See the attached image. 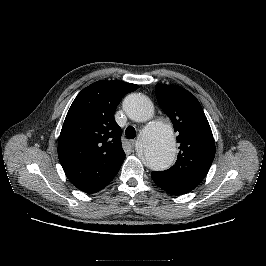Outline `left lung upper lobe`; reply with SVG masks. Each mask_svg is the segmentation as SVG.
<instances>
[{"instance_id": "obj_1", "label": "left lung upper lobe", "mask_w": 266, "mask_h": 266, "mask_svg": "<svg viewBox=\"0 0 266 266\" xmlns=\"http://www.w3.org/2000/svg\"><path fill=\"white\" fill-rule=\"evenodd\" d=\"M156 97L171 119L180 144L176 163L158 174L194 189L207 175L215 156V143L199 101L176 85L156 84Z\"/></svg>"}]
</instances>
